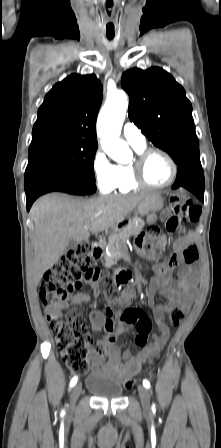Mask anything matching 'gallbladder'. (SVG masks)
<instances>
[{
    "instance_id": "obj_1",
    "label": "gallbladder",
    "mask_w": 221,
    "mask_h": 448,
    "mask_svg": "<svg viewBox=\"0 0 221 448\" xmlns=\"http://www.w3.org/2000/svg\"><path fill=\"white\" fill-rule=\"evenodd\" d=\"M74 246H75V241H70V243L68 244V246L65 249V252L72 249Z\"/></svg>"
}]
</instances>
